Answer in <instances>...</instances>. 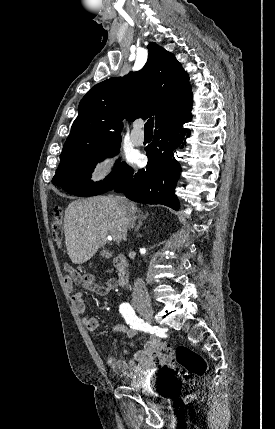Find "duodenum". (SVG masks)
<instances>
[{
    "label": "duodenum",
    "mask_w": 275,
    "mask_h": 429,
    "mask_svg": "<svg viewBox=\"0 0 275 429\" xmlns=\"http://www.w3.org/2000/svg\"><path fill=\"white\" fill-rule=\"evenodd\" d=\"M107 255L109 254L107 253ZM113 261H114V266L119 275V284L121 286H124L126 282V275H127V269H128L127 260L122 254H118L114 256Z\"/></svg>",
    "instance_id": "410a0bca"
}]
</instances>
